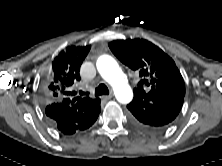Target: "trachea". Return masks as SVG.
I'll return each mask as SVG.
<instances>
[{"label":"trachea","instance_id":"obj_1","mask_svg":"<svg viewBox=\"0 0 222 166\" xmlns=\"http://www.w3.org/2000/svg\"><path fill=\"white\" fill-rule=\"evenodd\" d=\"M80 95H85V94H89V93H85L82 91H79ZM109 94V89L105 84H100L96 89H95V96H99V95H108Z\"/></svg>","mask_w":222,"mask_h":166}]
</instances>
